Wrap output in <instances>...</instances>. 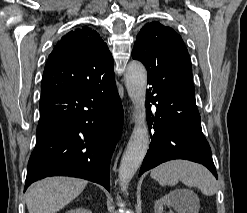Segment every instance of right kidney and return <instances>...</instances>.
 Here are the masks:
<instances>
[{
    "label": "right kidney",
    "instance_id": "1",
    "mask_svg": "<svg viewBox=\"0 0 247 213\" xmlns=\"http://www.w3.org/2000/svg\"><path fill=\"white\" fill-rule=\"evenodd\" d=\"M66 213H92V212L83 207H79V208L68 210Z\"/></svg>",
    "mask_w": 247,
    "mask_h": 213
}]
</instances>
